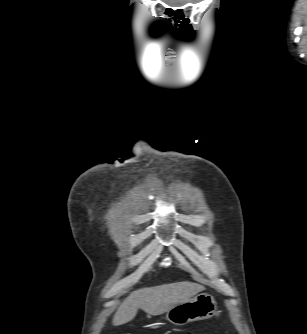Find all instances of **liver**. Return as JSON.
Here are the masks:
<instances>
[{
  "label": "liver",
  "instance_id": "obj_1",
  "mask_svg": "<svg viewBox=\"0 0 307 334\" xmlns=\"http://www.w3.org/2000/svg\"><path fill=\"white\" fill-rule=\"evenodd\" d=\"M204 289L200 284L183 281L133 291L119 305L112 323L119 326L131 321L138 309L153 316L160 315Z\"/></svg>",
  "mask_w": 307,
  "mask_h": 334
}]
</instances>
